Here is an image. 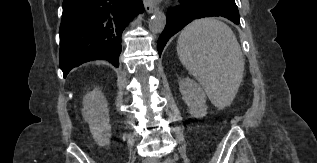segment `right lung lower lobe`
<instances>
[{"label": "right lung lower lobe", "instance_id": "1", "mask_svg": "<svg viewBox=\"0 0 317 163\" xmlns=\"http://www.w3.org/2000/svg\"><path fill=\"white\" fill-rule=\"evenodd\" d=\"M141 12V0H64L59 31L64 78L72 68L92 60L118 67L122 32Z\"/></svg>", "mask_w": 317, "mask_h": 163}]
</instances>
